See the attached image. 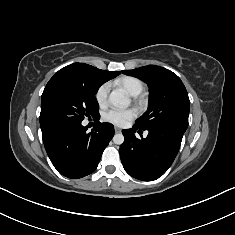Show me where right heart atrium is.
<instances>
[{
	"mask_svg": "<svg viewBox=\"0 0 235 235\" xmlns=\"http://www.w3.org/2000/svg\"><path fill=\"white\" fill-rule=\"evenodd\" d=\"M109 91L110 84L107 82L100 85L96 90L95 99L100 106H104L106 104Z\"/></svg>",
	"mask_w": 235,
	"mask_h": 235,
	"instance_id": "obj_1",
	"label": "right heart atrium"
}]
</instances>
